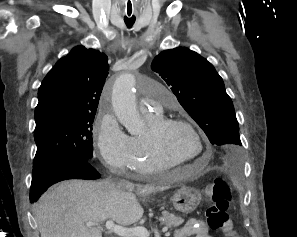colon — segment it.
I'll list each match as a JSON object with an SVG mask.
<instances>
[{"label":"colon","instance_id":"obj_1","mask_svg":"<svg viewBox=\"0 0 297 237\" xmlns=\"http://www.w3.org/2000/svg\"><path fill=\"white\" fill-rule=\"evenodd\" d=\"M211 205L207 208L206 219L208 226L213 230L223 232L227 237H242L234 230L233 223L229 219L232 193L224 180H217L208 188Z\"/></svg>","mask_w":297,"mask_h":237}]
</instances>
